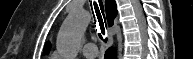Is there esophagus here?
Segmentation results:
<instances>
[{
	"label": "esophagus",
	"instance_id": "esophagus-1",
	"mask_svg": "<svg viewBox=\"0 0 193 59\" xmlns=\"http://www.w3.org/2000/svg\"><path fill=\"white\" fill-rule=\"evenodd\" d=\"M99 2H100V1H98V0H91V1H90V3L92 4L93 9H94V5H96V4H98V6H99ZM94 11H95V10H94ZM109 39H110V41H111V43H112V42H113L112 36H110ZM107 45H109V43H107Z\"/></svg>",
	"mask_w": 193,
	"mask_h": 59
}]
</instances>
